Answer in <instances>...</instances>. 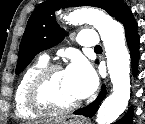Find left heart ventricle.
Masks as SVG:
<instances>
[{
    "label": "left heart ventricle",
    "mask_w": 145,
    "mask_h": 124,
    "mask_svg": "<svg viewBox=\"0 0 145 124\" xmlns=\"http://www.w3.org/2000/svg\"><path fill=\"white\" fill-rule=\"evenodd\" d=\"M47 91L50 98L61 106L69 105L79 100L65 71H59L52 75Z\"/></svg>",
    "instance_id": "left-heart-ventricle-1"
}]
</instances>
